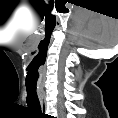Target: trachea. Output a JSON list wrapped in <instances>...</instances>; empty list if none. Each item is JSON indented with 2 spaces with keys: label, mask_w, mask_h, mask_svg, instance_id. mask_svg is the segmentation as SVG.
<instances>
[{
  "label": "trachea",
  "mask_w": 118,
  "mask_h": 118,
  "mask_svg": "<svg viewBox=\"0 0 118 118\" xmlns=\"http://www.w3.org/2000/svg\"><path fill=\"white\" fill-rule=\"evenodd\" d=\"M27 91V105L33 110H39L41 112L40 101L38 99L36 89L26 88Z\"/></svg>",
  "instance_id": "1"
}]
</instances>
